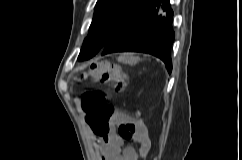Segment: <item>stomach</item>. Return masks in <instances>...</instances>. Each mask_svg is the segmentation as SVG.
Returning a JSON list of instances; mask_svg holds the SVG:
<instances>
[{
    "instance_id": "0dacf381",
    "label": "stomach",
    "mask_w": 242,
    "mask_h": 160,
    "mask_svg": "<svg viewBox=\"0 0 242 160\" xmlns=\"http://www.w3.org/2000/svg\"><path fill=\"white\" fill-rule=\"evenodd\" d=\"M118 60L123 63L134 64L139 60V58L133 57L131 54H125L120 56Z\"/></svg>"
}]
</instances>
